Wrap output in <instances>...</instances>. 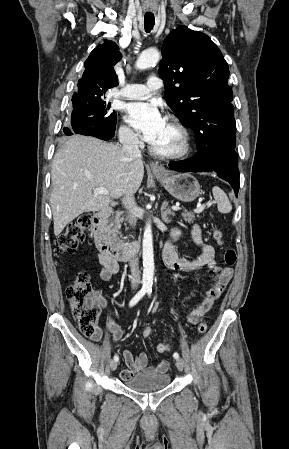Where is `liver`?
Segmentation results:
<instances>
[{
  "mask_svg": "<svg viewBox=\"0 0 289 449\" xmlns=\"http://www.w3.org/2000/svg\"><path fill=\"white\" fill-rule=\"evenodd\" d=\"M143 176L142 160L130 159L120 146L94 137H71L56 152L51 168L55 236L82 213L101 211L113 199L136 193ZM101 187L109 193L95 194Z\"/></svg>",
  "mask_w": 289,
  "mask_h": 449,
  "instance_id": "6515ba94",
  "label": "liver"
}]
</instances>
